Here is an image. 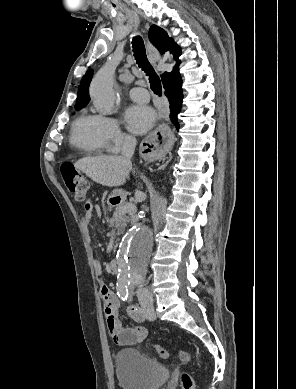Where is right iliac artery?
Here are the masks:
<instances>
[{
    "mask_svg": "<svg viewBox=\"0 0 296 389\" xmlns=\"http://www.w3.org/2000/svg\"><path fill=\"white\" fill-rule=\"evenodd\" d=\"M118 295H119V297H121L122 300L127 301L128 297H129V292H128L127 286L120 287L118 289Z\"/></svg>",
    "mask_w": 296,
    "mask_h": 389,
    "instance_id": "1",
    "label": "right iliac artery"
}]
</instances>
